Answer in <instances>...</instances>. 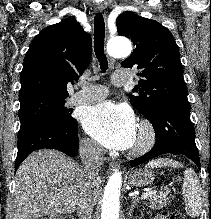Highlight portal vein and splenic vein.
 Returning a JSON list of instances; mask_svg holds the SVG:
<instances>
[{
    "mask_svg": "<svg viewBox=\"0 0 211 219\" xmlns=\"http://www.w3.org/2000/svg\"><path fill=\"white\" fill-rule=\"evenodd\" d=\"M153 193H156V191H153V190H147L145 191L142 195H141V198H147L149 197L150 195H152Z\"/></svg>",
    "mask_w": 211,
    "mask_h": 219,
    "instance_id": "portal-vein-and-splenic-vein-1",
    "label": "portal vein and splenic vein"
}]
</instances>
